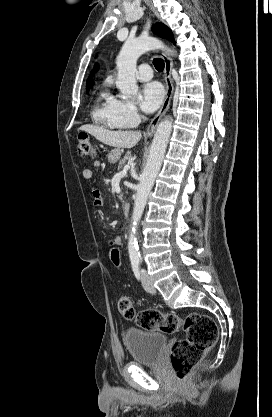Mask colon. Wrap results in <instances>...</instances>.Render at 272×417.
I'll return each mask as SVG.
<instances>
[{
    "instance_id": "colon-1",
    "label": "colon",
    "mask_w": 272,
    "mask_h": 417,
    "mask_svg": "<svg viewBox=\"0 0 272 417\" xmlns=\"http://www.w3.org/2000/svg\"><path fill=\"white\" fill-rule=\"evenodd\" d=\"M77 152L82 158L94 159L98 149L87 135L78 138ZM109 259L120 268L122 257L120 245L110 244ZM118 310L127 320H134L136 324L146 330L175 333L180 330L186 337L176 341L170 350L169 358L178 380H184L201 362L205 352L211 348L218 338V327L208 315L192 313L182 317L175 313L163 314L155 309H145L136 313L132 301L128 297L118 300Z\"/></svg>"
}]
</instances>
